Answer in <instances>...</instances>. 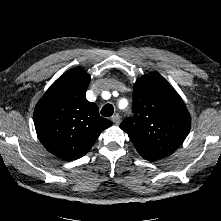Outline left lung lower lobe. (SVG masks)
Masks as SVG:
<instances>
[{"instance_id":"obj_1","label":"left lung lower lobe","mask_w":221,"mask_h":221,"mask_svg":"<svg viewBox=\"0 0 221 221\" xmlns=\"http://www.w3.org/2000/svg\"><path fill=\"white\" fill-rule=\"evenodd\" d=\"M137 149V151L139 152V154L146 160H149V161H155V160H158L160 158L156 157V156H153L149 153H147L145 150H143L142 148L140 147H135Z\"/></svg>"}]
</instances>
